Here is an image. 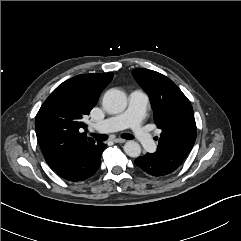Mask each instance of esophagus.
Segmentation results:
<instances>
[{"instance_id": "34e87169", "label": "esophagus", "mask_w": 241, "mask_h": 241, "mask_svg": "<svg viewBox=\"0 0 241 241\" xmlns=\"http://www.w3.org/2000/svg\"><path fill=\"white\" fill-rule=\"evenodd\" d=\"M113 141H114L115 143H125V142H126V140L120 139V138H116V139H114Z\"/></svg>"}]
</instances>
